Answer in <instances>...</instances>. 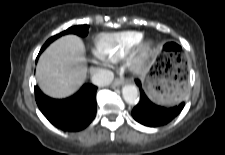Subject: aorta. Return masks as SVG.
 Here are the masks:
<instances>
[{"mask_svg": "<svg viewBox=\"0 0 225 155\" xmlns=\"http://www.w3.org/2000/svg\"><path fill=\"white\" fill-rule=\"evenodd\" d=\"M122 95L125 102L130 105L138 102V90L135 85H125L122 88Z\"/></svg>", "mask_w": 225, "mask_h": 155, "instance_id": "1", "label": "aorta"}]
</instances>
